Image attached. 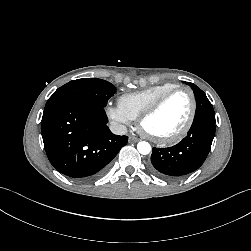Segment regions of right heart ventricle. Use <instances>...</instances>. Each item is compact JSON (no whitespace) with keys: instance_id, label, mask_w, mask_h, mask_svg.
<instances>
[{"instance_id":"obj_1","label":"right heart ventricle","mask_w":251,"mask_h":251,"mask_svg":"<svg viewBox=\"0 0 251 251\" xmlns=\"http://www.w3.org/2000/svg\"><path fill=\"white\" fill-rule=\"evenodd\" d=\"M175 86L177 85L173 83H163L141 91L124 94L118 99V105L131 120H135L162 94Z\"/></svg>"}]
</instances>
